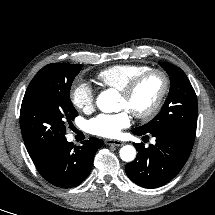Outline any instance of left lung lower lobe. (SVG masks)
Returning <instances> with one entry per match:
<instances>
[{
	"instance_id": "left-lung-lower-lobe-1",
	"label": "left lung lower lobe",
	"mask_w": 215,
	"mask_h": 215,
	"mask_svg": "<svg viewBox=\"0 0 215 215\" xmlns=\"http://www.w3.org/2000/svg\"><path fill=\"white\" fill-rule=\"evenodd\" d=\"M132 132L135 135L150 134L156 138V144H150L148 148L144 144L134 143L137 157L125 166L127 176L144 188H157L171 181L186 163L195 139V136L169 128Z\"/></svg>"
}]
</instances>
